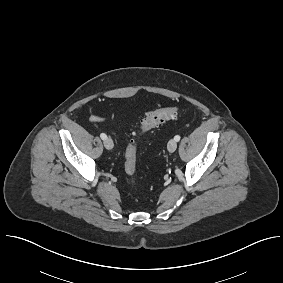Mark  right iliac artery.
Masks as SVG:
<instances>
[{"mask_svg":"<svg viewBox=\"0 0 283 283\" xmlns=\"http://www.w3.org/2000/svg\"><path fill=\"white\" fill-rule=\"evenodd\" d=\"M100 137H101V139L105 140V139L107 138V135L104 134V133H101V134H100Z\"/></svg>","mask_w":283,"mask_h":283,"instance_id":"82829eb1","label":"right iliac artery"}]
</instances>
